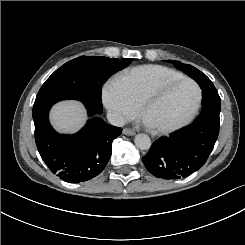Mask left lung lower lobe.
<instances>
[{
	"label": "left lung lower lobe",
	"mask_w": 245,
	"mask_h": 245,
	"mask_svg": "<svg viewBox=\"0 0 245 245\" xmlns=\"http://www.w3.org/2000/svg\"><path fill=\"white\" fill-rule=\"evenodd\" d=\"M202 89V112L183 130L153 143L142 158L154 176L175 180L189 176L207 161L219 134L221 100L208 77L197 82Z\"/></svg>",
	"instance_id": "left-lung-lower-lobe-1"
}]
</instances>
